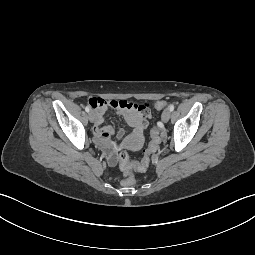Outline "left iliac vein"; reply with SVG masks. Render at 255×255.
Returning <instances> with one entry per match:
<instances>
[{
  "mask_svg": "<svg viewBox=\"0 0 255 255\" xmlns=\"http://www.w3.org/2000/svg\"><path fill=\"white\" fill-rule=\"evenodd\" d=\"M170 116H171V111H170L168 108L165 109V110L163 111V113H162V116H161L162 121H163L164 123H167V122L169 121V119H170Z\"/></svg>",
  "mask_w": 255,
  "mask_h": 255,
  "instance_id": "4c4485c4",
  "label": "left iliac vein"
}]
</instances>
